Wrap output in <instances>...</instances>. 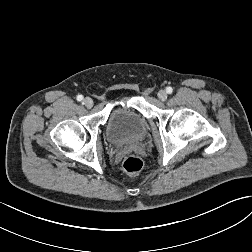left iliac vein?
<instances>
[{
    "label": "left iliac vein",
    "instance_id": "1",
    "mask_svg": "<svg viewBox=\"0 0 252 252\" xmlns=\"http://www.w3.org/2000/svg\"><path fill=\"white\" fill-rule=\"evenodd\" d=\"M158 98L161 100V101H165L167 99V93L164 91V90H160L158 92Z\"/></svg>",
    "mask_w": 252,
    "mask_h": 252
}]
</instances>
